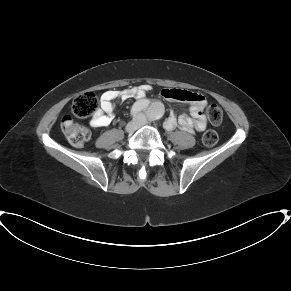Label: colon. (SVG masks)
Segmentation results:
<instances>
[{"label":"colon","mask_w":291,"mask_h":291,"mask_svg":"<svg viewBox=\"0 0 291 291\" xmlns=\"http://www.w3.org/2000/svg\"><path fill=\"white\" fill-rule=\"evenodd\" d=\"M98 107L97 96L93 92H85L74 99L72 103V115L75 118H87L91 116ZM207 118L214 124L222 121V110L217 104H210L205 110ZM70 116L61 120V130L68 141L74 146L84 145L91 137L90 129L75 121ZM218 140L215 131L210 130L204 133L202 142L205 146H213Z\"/></svg>","instance_id":"obj_1"}]
</instances>
